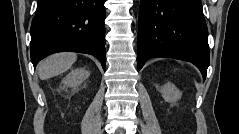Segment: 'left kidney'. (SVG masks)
Returning <instances> with one entry per match:
<instances>
[{
	"mask_svg": "<svg viewBox=\"0 0 239 134\" xmlns=\"http://www.w3.org/2000/svg\"><path fill=\"white\" fill-rule=\"evenodd\" d=\"M160 92L164 100L169 103H175L177 100L181 99L182 96L180 90H178L177 87L171 82L164 84L161 87Z\"/></svg>",
	"mask_w": 239,
	"mask_h": 134,
	"instance_id": "obj_1",
	"label": "left kidney"
}]
</instances>
